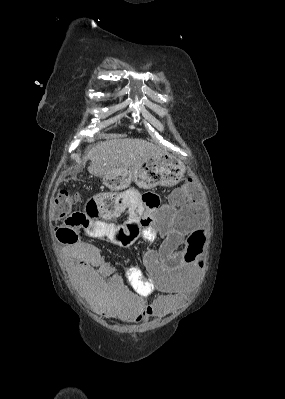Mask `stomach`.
Wrapping results in <instances>:
<instances>
[{
	"label": "stomach",
	"mask_w": 285,
	"mask_h": 399,
	"mask_svg": "<svg viewBox=\"0 0 285 399\" xmlns=\"http://www.w3.org/2000/svg\"><path fill=\"white\" fill-rule=\"evenodd\" d=\"M185 173L184 164L169 154L153 156L139 165L105 175L103 184L113 192L122 191L134 182L139 188L176 185Z\"/></svg>",
	"instance_id": "1"
}]
</instances>
